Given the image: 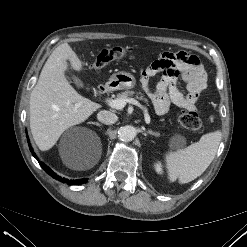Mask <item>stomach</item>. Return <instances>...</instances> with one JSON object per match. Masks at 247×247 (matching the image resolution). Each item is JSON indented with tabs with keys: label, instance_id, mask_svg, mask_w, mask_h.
<instances>
[{
	"label": "stomach",
	"instance_id": "0dacf381",
	"mask_svg": "<svg viewBox=\"0 0 247 247\" xmlns=\"http://www.w3.org/2000/svg\"><path fill=\"white\" fill-rule=\"evenodd\" d=\"M109 84L115 90L131 89L136 85V78L131 73L120 71L111 76Z\"/></svg>",
	"mask_w": 247,
	"mask_h": 247
}]
</instances>
